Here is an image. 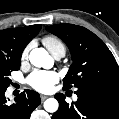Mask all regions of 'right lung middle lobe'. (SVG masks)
Instances as JSON below:
<instances>
[{"mask_svg": "<svg viewBox=\"0 0 119 119\" xmlns=\"http://www.w3.org/2000/svg\"><path fill=\"white\" fill-rule=\"evenodd\" d=\"M20 69V62H6L0 61V90H6L11 84L9 76L12 71H17Z\"/></svg>", "mask_w": 119, "mask_h": 119, "instance_id": "dd1d6c3e", "label": "right lung middle lobe"}]
</instances>
